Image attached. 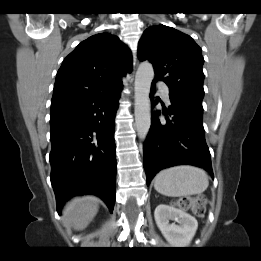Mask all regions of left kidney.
I'll use <instances>...</instances> for the list:
<instances>
[{
  "instance_id": "left-kidney-1",
  "label": "left kidney",
  "mask_w": 261,
  "mask_h": 261,
  "mask_svg": "<svg viewBox=\"0 0 261 261\" xmlns=\"http://www.w3.org/2000/svg\"><path fill=\"white\" fill-rule=\"evenodd\" d=\"M154 217L163 236L174 247L189 245L198 228V222L193 216L173 206L158 205ZM169 220L178 224L170 223Z\"/></svg>"
}]
</instances>
